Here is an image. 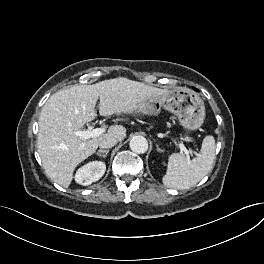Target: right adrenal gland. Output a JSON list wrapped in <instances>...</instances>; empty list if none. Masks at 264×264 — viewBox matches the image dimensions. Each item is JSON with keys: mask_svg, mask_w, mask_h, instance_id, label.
I'll return each instance as SVG.
<instances>
[{"mask_svg": "<svg viewBox=\"0 0 264 264\" xmlns=\"http://www.w3.org/2000/svg\"><path fill=\"white\" fill-rule=\"evenodd\" d=\"M108 153H109V150H98L96 154L100 157L106 158Z\"/></svg>", "mask_w": 264, "mask_h": 264, "instance_id": "1", "label": "right adrenal gland"}]
</instances>
